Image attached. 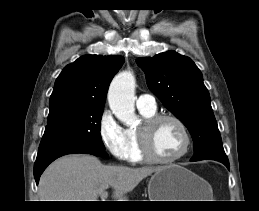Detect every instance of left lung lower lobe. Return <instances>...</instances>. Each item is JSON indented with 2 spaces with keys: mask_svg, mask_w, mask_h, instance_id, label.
Listing matches in <instances>:
<instances>
[{
  "mask_svg": "<svg viewBox=\"0 0 259 211\" xmlns=\"http://www.w3.org/2000/svg\"><path fill=\"white\" fill-rule=\"evenodd\" d=\"M220 162L223 163L228 169L230 168L229 161H220Z\"/></svg>",
  "mask_w": 259,
  "mask_h": 211,
  "instance_id": "0a47b994",
  "label": "left lung lower lobe"
}]
</instances>
